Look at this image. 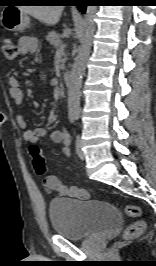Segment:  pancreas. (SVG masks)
Returning <instances> with one entry per match:
<instances>
[{"instance_id":"pancreas-1","label":"pancreas","mask_w":156,"mask_h":266,"mask_svg":"<svg viewBox=\"0 0 156 266\" xmlns=\"http://www.w3.org/2000/svg\"><path fill=\"white\" fill-rule=\"evenodd\" d=\"M46 40L54 47H57L61 43L60 35L54 31L48 33Z\"/></svg>"}]
</instances>
